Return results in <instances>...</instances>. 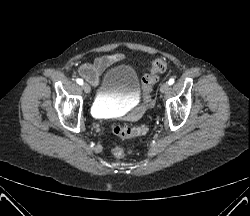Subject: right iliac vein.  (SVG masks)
Masks as SVG:
<instances>
[{"label":"right iliac vein","mask_w":250,"mask_h":216,"mask_svg":"<svg viewBox=\"0 0 250 216\" xmlns=\"http://www.w3.org/2000/svg\"><path fill=\"white\" fill-rule=\"evenodd\" d=\"M82 89L84 90L85 93L89 94L91 91L90 86L87 83L82 84Z\"/></svg>","instance_id":"1"}]
</instances>
